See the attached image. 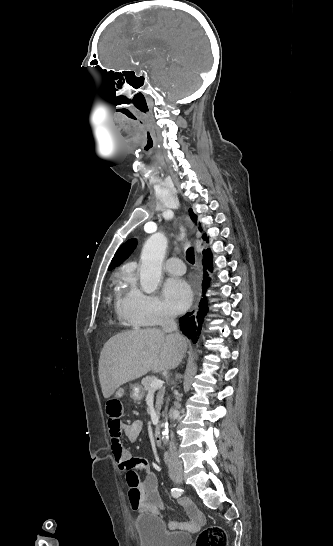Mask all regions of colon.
Masks as SVG:
<instances>
[{"instance_id": "5ec220e1", "label": "colon", "mask_w": 333, "mask_h": 546, "mask_svg": "<svg viewBox=\"0 0 333 546\" xmlns=\"http://www.w3.org/2000/svg\"><path fill=\"white\" fill-rule=\"evenodd\" d=\"M123 403L122 396H111L110 400L105 402L109 422H118L120 420ZM196 546H227V535L221 527H208L199 533Z\"/></svg>"}]
</instances>
